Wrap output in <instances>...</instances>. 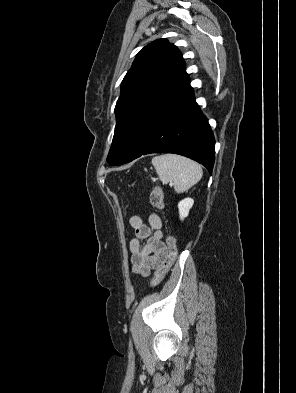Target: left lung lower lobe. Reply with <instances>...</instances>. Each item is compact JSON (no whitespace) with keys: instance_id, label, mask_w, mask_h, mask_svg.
Listing matches in <instances>:
<instances>
[{"instance_id":"obj_1","label":"left lung lower lobe","mask_w":296,"mask_h":393,"mask_svg":"<svg viewBox=\"0 0 296 393\" xmlns=\"http://www.w3.org/2000/svg\"><path fill=\"white\" fill-rule=\"evenodd\" d=\"M150 153L183 155L212 173L215 139L189 84L152 122L126 162Z\"/></svg>"}]
</instances>
